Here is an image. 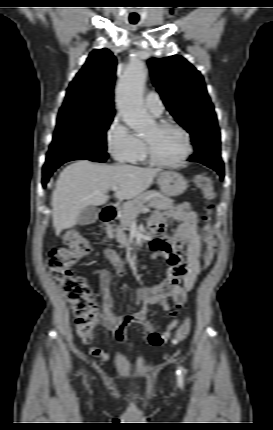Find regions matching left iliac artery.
<instances>
[{
    "label": "left iliac artery",
    "instance_id": "1",
    "mask_svg": "<svg viewBox=\"0 0 273 430\" xmlns=\"http://www.w3.org/2000/svg\"><path fill=\"white\" fill-rule=\"evenodd\" d=\"M185 374H186V369L180 366L177 370L179 383H183Z\"/></svg>",
    "mask_w": 273,
    "mask_h": 430
}]
</instances>
